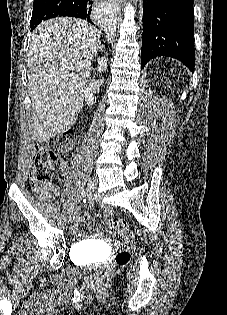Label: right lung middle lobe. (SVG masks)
<instances>
[{
	"label": "right lung middle lobe",
	"instance_id": "1",
	"mask_svg": "<svg viewBox=\"0 0 227 315\" xmlns=\"http://www.w3.org/2000/svg\"><path fill=\"white\" fill-rule=\"evenodd\" d=\"M75 0H34L33 12L30 21L31 30L42 21L57 17L65 7L73 5Z\"/></svg>",
	"mask_w": 227,
	"mask_h": 315
}]
</instances>
